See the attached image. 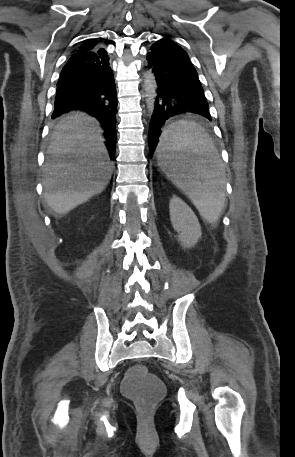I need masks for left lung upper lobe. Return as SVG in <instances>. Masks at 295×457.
I'll return each instance as SVG.
<instances>
[{
	"label": "left lung upper lobe",
	"mask_w": 295,
	"mask_h": 457,
	"mask_svg": "<svg viewBox=\"0 0 295 457\" xmlns=\"http://www.w3.org/2000/svg\"><path fill=\"white\" fill-rule=\"evenodd\" d=\"M164 39L171 40L170 37H168V36H165Z\"/></svg>",
	"instance_id": "left-lung-upper-lobe-1"
}]
</instances>
